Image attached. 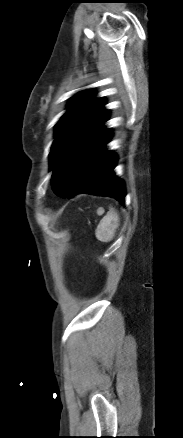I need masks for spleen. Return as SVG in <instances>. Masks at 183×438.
<instances>
[{"mask_svg":"<svg viewBox=\"0 0 183 438\" xmlns=\"http://www.w3.org/2000/svg\"><path fill=\"white\" fill-rule=\"evenodd\" d=\"M119 227V216L114 208H110L107 214L101 219L96 230V238L101 242H110Z\"/></svg>","mask_w":183,"mask_h":438,"instance_id":"obj_1","label":"spleen"}]
</instances>
